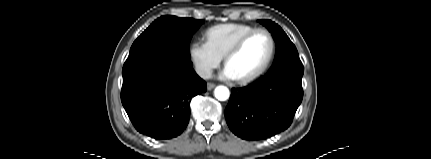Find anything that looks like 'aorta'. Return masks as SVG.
Listing matches in <instances>:
<instances>
[{"mask_svg":"<svg viewBox=\"0 0 431 159\" xmlns=\"http://www.w3.org/2000/svg\"><path fill=\"white\" fill-rule=\"evenodd\" d=\"M215 97L220 101H225L229 98L230 92L229 89L225 86H218L214 91Z\"/></svg>","mask_w":431,"mask_h":159,"instance_id":"1","label":"aorta"}]
</instances>
